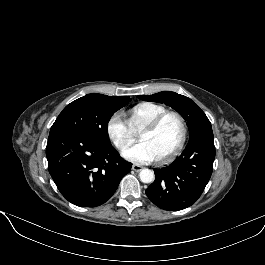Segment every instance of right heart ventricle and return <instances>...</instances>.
<instances>
[{
    "label": "right heart ventricle",
    "mask_w": 265,
    "mask_h": 265,
    "mask_svg": "<svg viewBox=\"0 0 265 265\" xmlns=\"http://www.w3.org/2000/svg\"><path fill=\"white\" fill-rule=\"evenodd\" d=\"M166 111L168 110L164 106L151 102L137 104L129 111V124L134 130L142 129Z\"/></svg>",
    "instance_id": "obj_1"
}]
</instances>
